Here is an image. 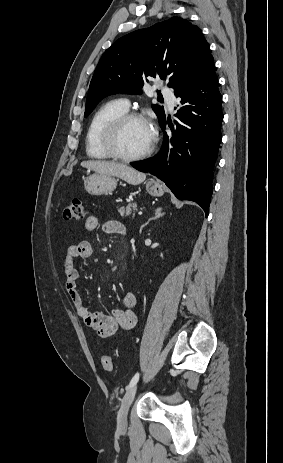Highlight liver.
Here are the masks:
<instances>
[{"label":"liver","mask_w":283,"mask_h":463,"mask_svg":"<svg viewBox=\"0 0 283 463\" xmlns=\"http://www.w3.org/2000/svg\"><path fill=\"white\" fill-rule=\"evenodd\" d=\"M81 166L95 171L97 174L121 178L131 185H138L146 179V174L139 172L123 163L103 160L83 161Z\"/></svg>","instance_id":"obj_1"}]
</instances>
